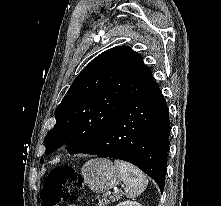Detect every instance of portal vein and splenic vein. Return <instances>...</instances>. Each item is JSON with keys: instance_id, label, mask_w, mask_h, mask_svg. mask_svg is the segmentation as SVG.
<instances>
[{"instance_id": "18ae733b", "label": "portal vein and splenic vein", "mask_w": 221, "mask_h": 206, "mask_svg": "<svg viewBox=\"0 0 221 206\" xmlns=\"http://www.w3.org/2000/svg\"><path fill=\"white\" fill-rule=\"evenodd\" d=\"M107 195H109V196H110V195H111V192H108V193H107Z\"/></svg>"}]
</instances>
